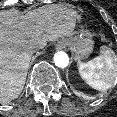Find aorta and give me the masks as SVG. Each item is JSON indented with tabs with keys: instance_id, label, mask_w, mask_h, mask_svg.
I'll return each mask as SVG.
<instances>
[{
	"instance_id": "762f6f07",
	"label": "aorta",
	"mask_w": 117,
	"mask_h": 117,
	"mask_svg": "<svg viewBox=\"0 0 117 117\" xmlns=\"http://www.w3.org/2000/svg\"><path fill=\"white\" fill-rule=\"evenodd\" d=\"M54 63L57 67L59 68H65L68 66L69 64V57L68 55L63 52V51H59L57 53H55L54 55Z\"/></svg>"
}]
</instances>
